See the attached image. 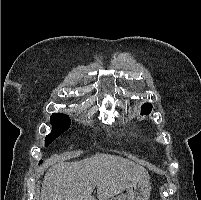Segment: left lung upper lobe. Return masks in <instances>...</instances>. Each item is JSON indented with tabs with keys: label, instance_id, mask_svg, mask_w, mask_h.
Returning a JSON list of instances; mask_svg holds the SVG:
<instances>
[{
	"label": "left lung upper lobe",
	"instance_id": "left-lung-upper-lobe-1",
	"mask_svg": "<svg viewBox=\"0 0 201 200\" xmlns=\"http://www.w3.org/2000/svg\"><path fill=\"white\" fill-rule=\"evenodd\" d=\"M152 105L151 104H145L142 106L141 113L142 114H149L151 112Z\"/></svg>",
	"mask_w": 201,
	"mask_h": 200
}]
</instances>
